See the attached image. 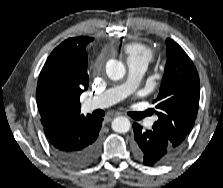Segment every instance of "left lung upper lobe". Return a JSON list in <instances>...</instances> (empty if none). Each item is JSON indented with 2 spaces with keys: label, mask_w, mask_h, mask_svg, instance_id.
<instances>
[{
  "label": "left lung upper lobe",
  "mask_w": 223,
  "mask_h": 188,
  "mask_svg": "<svg viewBox=\"0 0 223 188\" xmlns=\"http://www.w3.org/2000/svg\"><path fill=\"white\" fill-rule=\"evenodd\" d=\"M166 46L167 63L159 95L154 100L159 119L154 125L181 148L198 113L200 82L185 51L171 39L166 40Z\"/></svg>",
  "instance_id": "5c2ea615"
}]
</instances>
